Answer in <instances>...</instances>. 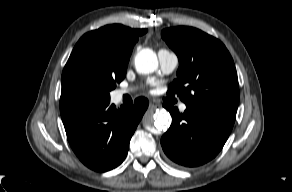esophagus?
<instances>
[{
	"label": "esophagus",
	"instance_id": "1",
	"mask_svg": "<svg viewBox=\"0 0 292 192\" xmlns=\"http://www.w3.org/2000/svg\"><path fill=\"white\" fill-rule=\"evenodd\" d=\"M157 107H159V103L157 101H155V100L150 101V103H149V108L150 109H155Z\"/></svg>",
	"mask_w": 292,
	"mask_h": 192
}]
</instances>
